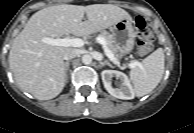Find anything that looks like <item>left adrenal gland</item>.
Returning a JSON list of instances; mask_svg holds the SVG:
<instances>
[{"label": "left adrenal gland", "mask_w": 194, "mask_h": 133, "mask_svg": "<svg viewBox=\"0 0 194 133\" xmlns=\"http://www.w3.org/2000/svg\"><path fill=\"white\" fill-rule=\"evenodd\" d=\"M104 64H105V65H108V66H110V67H113L112 64H110V62H108L107 60L104 61Z\"/></svg>", "instance_id": "left-adrenal-gland-1"}]
</instances>
